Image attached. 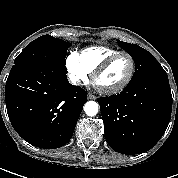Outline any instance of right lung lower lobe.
Wrapping results in <instances>:
<instances>
[{
    "label": "right lung lower lobe",
    "mask_w": 178,
    "mask_h": 178,
    "mask_svg": "<svg viewBox=\"0 0 178 178\" xmlns=\"http://www.w3.org/2000/svg\"><path fill=\"white\" fill-rule=\"evenodd\" d=\"M87 101V92L70 84L56 64L19 65L6 81V108L15 131L44 149L65 145Z\"/></svg>",
    "instance_id": "1"
}]
</instances>
